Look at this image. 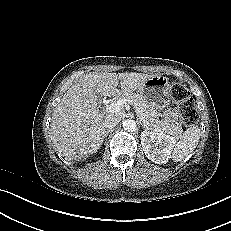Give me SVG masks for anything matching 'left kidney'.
Listing matches in <instances>:
<instances>
[{
	"label": "left kidney",
	"mask_w": 231,
	"mask_h": 231,
	"mask_svg": "<svg viewBox=\"0 0 231 231\" xmlns=\"http://www.w3.org/2000/svg\"><path fill=\"white\" fill-rule=\"evenodd\" d=\"M176 140L164 133L144 130L141 133V145L148 159L157 164H165L170 158Z\"/></svg>",
	"instance_id": "1"
}]
</instances>
